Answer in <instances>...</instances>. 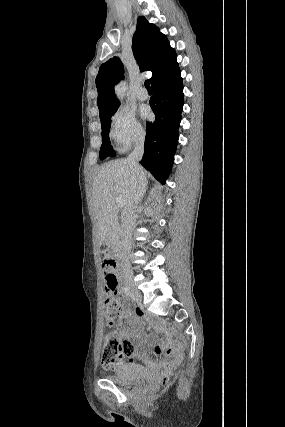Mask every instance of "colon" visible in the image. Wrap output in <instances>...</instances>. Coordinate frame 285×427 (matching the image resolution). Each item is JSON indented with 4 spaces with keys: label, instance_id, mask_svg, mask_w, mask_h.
Instances as JSON below:
<instances>
[{
    "label": "colon",
    "instance_id": "obj_1",
    "mask_svg": "<svg viewBox=\"0 0 285 427\" xmlns=\"http://www.w3.org/2000/svg\"><path fill=\"white\" fill-rule=\"evenodd\" d=\"M101 267L104 273L105 290L107 292L105 299L106 323L108 328L113 329L105 338L101 351V364L106 369H112L122 358L132 354L133 345L129 339L119 336V332L123 330V327L118 322L122 300L117 292L118 278L114 272V260L108 256H104L101 260ZM137 313L142 314L139 309ZM155 354L171 356V351L158 346L155 348ZM167 383L168 379L164 378L162 384L166 385Z\"/></svg>",
    "mask_w": 285,
    "mask_h": 427
}]
</instances>
